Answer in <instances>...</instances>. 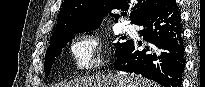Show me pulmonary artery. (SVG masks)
Masks as SVG:
<instances>
[{
    "mask_svg": "<svg viewBox=\"0 0 205 87\" xmlns=\"http://www.w3.org/2000/svg\"><path fill=\"white\" fill-rule=\"evenodd\" d=\"M122 29L124 32H127V33H133L135 31L134 27L130 24H124L122 26Z\"/></svg>",
    "mask_w": 205,
    "mask_h": 87,
    "instance_id": "obj_1",
    "label": "pulmonary artery"
}]
</instances>
